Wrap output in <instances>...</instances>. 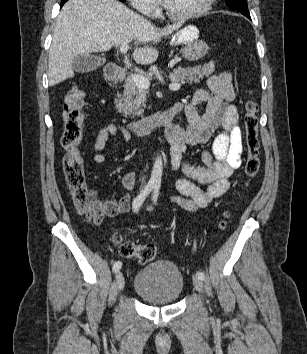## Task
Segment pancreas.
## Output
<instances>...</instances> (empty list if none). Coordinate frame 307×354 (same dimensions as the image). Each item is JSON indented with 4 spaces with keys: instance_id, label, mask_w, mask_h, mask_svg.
I'll use <instances>...</instances> for the list:
<instances>
[{
    "instance_id": "pancreas-1",
    "label": "pancreas",
    "mask_w": 307,
    "mask_h": 354,
    "mask_svg": "<svg viewBox=\"0 0 307 354\" xmlns=\"http://www.w3.org/2000/svg\"><path fill=\"white\" fill-rule=\"evenodd\" d=\"M155 67H151L143 76L150 79L155 72ZM214 71V67L210 64L197 67H178L170 73V78L176 83H199L204 77H208ZM148 92L139 88L132 75H128L125 79L124 92L122 98L117 104V108L124 115L142 116L144 108H146Z\"/></svg>"
}]
</instances>
